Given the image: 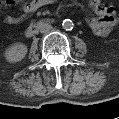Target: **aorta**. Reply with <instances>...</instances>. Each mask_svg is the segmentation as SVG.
I'll use <instances>...</instances> for the list:
<instances>
[{
	"instance_id": "762f6f07",
	"label": "aorta",
	"mask_w": 119,
	"mask_h": 119,
	"mask_svg": "<svg viewBox=\"0 0 119 119\" xmlns=\"http://www.w3.org/2000/svg\"><path fill=\"white\" fill-rule=\"evenodd\" d=\"M73 22L70 20V19H65V20H63V22H62V27H63V29H65V30H72V28H73Z\"/></svg>"
}]
</instances>
